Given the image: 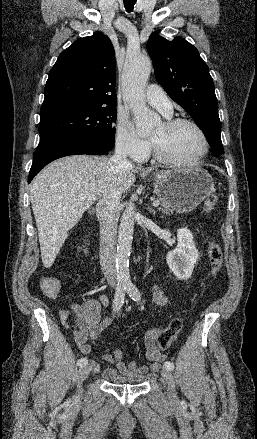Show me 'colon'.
Wrapping results in <instances>:
<instances>
[{"label": "colon", "mask_w": 257, "mask_h": 439, "mask_svg": "<svg viewBox=\"0 0 257 439\" xmlns=\"http://www.w3.org/2000/svg\"><path fill=\"white\" fill-rule=\"evenodd\" d=\"M217 196L212 194L209 195L204 201V209L206 211L212 210L217 203ZM209 260L212 265V272L216 275L221 268L223 254L222 249L216 240H212L208 248ZM61 285V281L58 278H46L42 281V290L47 296L55 295ZM183 323L180 318H174L170 325L160 332L156 338V344L158 350H164L171 342L182 331Z\"/></svg>", "instance_id": "obj_1"}]
</instances>
